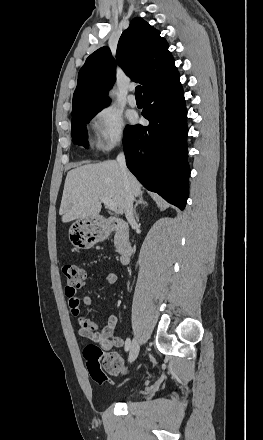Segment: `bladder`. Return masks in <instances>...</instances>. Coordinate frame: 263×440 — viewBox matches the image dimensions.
Returning <instances> with one entry per match:
<instances>
[{
  "label": "bladder",
  "mask_w": 263,
  "mask_h": 440,
  "mask_svg": "<svg viewBox=\"0 0 263 440\" xmlns=\"http://www.w3.org/2000/svg\"><path fill=\"white\" fill-rule=\"evenodd\" d=\"M137 394H138V391L134 390V391L128 393L127 397L132 398V397L136 396Z\"/></svg>",
  "instance_id": "obj_1"
}]
</instances>
